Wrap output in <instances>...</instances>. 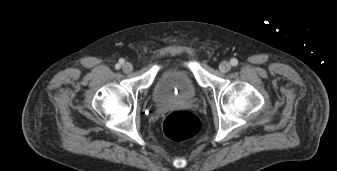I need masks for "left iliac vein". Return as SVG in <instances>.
Returning <instances> with one entry per match:
<instances>
[{"label": "left iliac vein", "mask_w": 337, "mask_h": 171, "mask_svg": "<svg viewBox=\"0 0 337 171\" xmlns=\"http://www.w3.org/2000/svg\"><path fill=\"white\" fill-rule=\"evenodd\" d=\"M219 69L221 72L226 73L231 69V65L228 61H223L220 63Z\"/></svg>", "instance_id": "left-iliac-vein-1"}]
</instances>
